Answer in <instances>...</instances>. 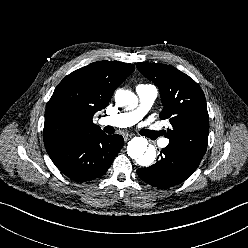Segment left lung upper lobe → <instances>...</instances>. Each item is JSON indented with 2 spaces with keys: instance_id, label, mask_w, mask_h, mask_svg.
<instances>
[{
  "instance_id": "left-lung-upper-lobe-1",
  "label": "left lung upper lobe",
  "mask_w": 248,
  "mask_h": 248,
  "mask_svg": "<svg viewBox=\"0 0 248 248\" xmlns=\"http://www.w3.org/2000/svg\"><path fill=\"white\" fill-rule=\"evenodd\" d=\"M138 70L160 90L161 119H169L168 148L198 166L206 148L209 116L200 86L188 75L165 64L137 63Z\"/></svg>"
}]
</instances>
